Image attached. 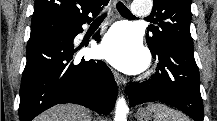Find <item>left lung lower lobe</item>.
Wrapping results in <instances>:
<instances>
[{
	"label": "left lung lower lobe",
	"mask_w": 217,
	"mask_h": 121,
	"mask_svg": "<svg viewBox=\"0 0 217 121\" xmlns=\"http://www.w3.org/2000/svg\"><path fill=\"white\" fill-rule=\"evenodd\" d=\"M149 49L158 60L157 70L149 80L130 82V106L160 101L180 109L195 121H203L199 71L193 49L177 43Z\"/></svg>",
	"instance_id": "1"
}]
</instances>
